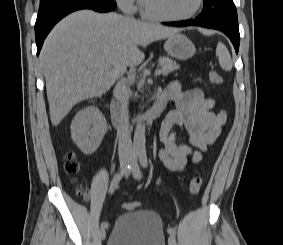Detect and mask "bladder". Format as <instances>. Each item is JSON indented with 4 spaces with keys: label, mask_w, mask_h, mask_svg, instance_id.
<instances>
[{
    "label": "bladder",
    "mask_w": 283,
    "mask_h": 245,
    "mask_svg": "<svg viewBox=\"0 0 283 245\" xmlns=\"http://www.w3.org/2000/svg\"><path fill=\"white\" fill-rule=\"evenodd\" d=\"M107 245H166L162 220L153 210L126 211L116 219Z\"/></svg>",
    "instance_id": "obj_1"
}]
</instances>
